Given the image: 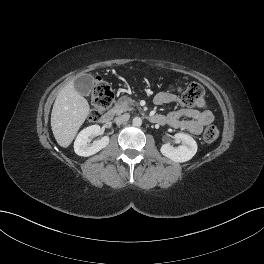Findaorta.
<instances>
[{"label":"aorta","mask_w":264,"mask_h":264,"mask_svg":"<svg viewBox=\"0 0 264 264\" xmlns=\"http://www.w3.org/2000/svg\"><path fill=\"white\" fill-rule=\"evenodd\" d=\"M132 123L134 126L139 127L142 125V119L140 117L136 116L133 118Z\"/></svg>","instance_id":"obj_1"}]
</instances>
